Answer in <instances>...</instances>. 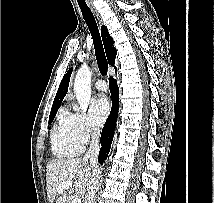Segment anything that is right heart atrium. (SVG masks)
<instances>
[{
	"mask_svg": "<svg viewBox=\"0 0 214 203\" xmlns=\"http://www.w3.org/2000/svg\"><path fill=\"white\" fill-rule=\"evenodd\" d=\"M64 119L74 138L84 145L98 133L97 126L82 113L67 112Z\"/></svg>",
	"mask_w": 214,
	"mask_h": 203,
	"instance_id": "d8ad5b80",
	"label": "right heart atrium"
}]
</instances>
